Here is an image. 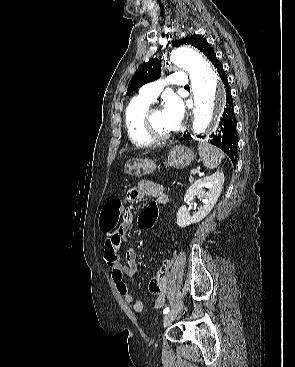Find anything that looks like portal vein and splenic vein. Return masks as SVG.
Segmentation results:
<instances>
[{
	"label": "portal vein and splenic vein",
	"instance_id": "1",
	"mask_svg": "<svg viewBox=\"0 0 295 367\" xmlns=\"http://www.w3.org/2000/svg\"><path fill=\"white\" fill-rule=\"evenodd\" d=\"M197 173V170H195V169H191V174L192 175H195Z\"/></svg>",
	"mask_w": 295,
	"mask_h": 367
}]
</instances>
